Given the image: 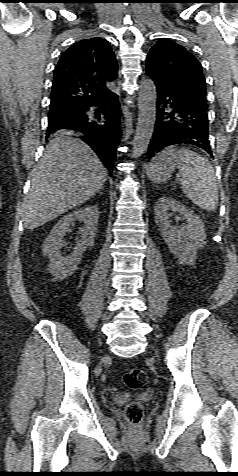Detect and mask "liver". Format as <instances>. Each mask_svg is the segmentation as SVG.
<instances>
[{"label":"liver","instance_id":"6515ba94","mask_svg":"<svg viewBox=\"0 0 238 476\" xmlns=\"http://www.w3.org/2000/svg\"><path fill=\"white\" fill-rule=\"evenodd\" d=\"M64 134H56L47 144L30 173L31 187L24 201L27 229L80 206L106 182L108 171L93 150L82 140Z\"/></svg>","mask_w":238,"mask_h":476}]
</instances>
